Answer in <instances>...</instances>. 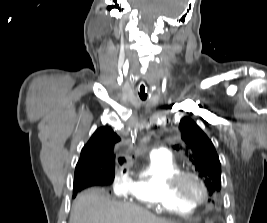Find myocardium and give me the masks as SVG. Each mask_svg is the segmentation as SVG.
<instances>
[{
	"instance_id": "1",
	"label": "myocardium",
	"mask_w": 267,
	"mask_h": 223,
	"mask_svg": "<svg viewBox=\"0 0 267 223\" xmlns=\"http://www.w3.org/2000/svg\"><path fill=\"white\" fill-rule=\"evenodd\" d=\"M189 179L194 180L201 187L202 194L200 197L196 198L188 194L186 190V182ZM169 189L173 196L193 206H197L203 203L208 197L207 184L199 174L192 171H181L178 174L174 175L170 179Z\"/></svg>"
}]
</instances>
